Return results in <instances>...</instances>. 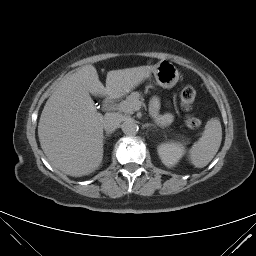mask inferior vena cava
I'll return each mask as SVG.
<instances>
[{"label":"inferior vena cava","mask_w":256,"mask_h":256,"mask_svg":"<svg viewBox=\"0 0 256 256\" xmlns=\"http://www.w3.org/2000/svg\"><path fill=\"white\" fill-rule=\"evenodd\" d=\"M121 122V117L118 113H106L103 121V128L107 133H112L117 129Z\"/></svg>","instance_id":"inferior-vena-cava-1"}]
</instances>
